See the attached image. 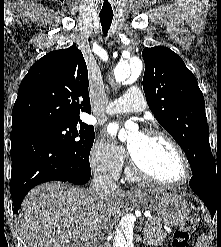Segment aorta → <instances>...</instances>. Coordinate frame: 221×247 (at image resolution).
<instances>
[{
  "label": "aorta",
  "mask_w": 221,
  "mask_h": 247,
  "mask_svg": "<svg viewBox=\"0 0 221 247\" xmlns=\"http://www.w3.org/2000/svg\"><path fill=\"white\" fill-rule=\"evenodd\" d=\"M142 70V62L137 58H131L128 61L120 62L114 68V78L117 82H124L130 76L132 79H135ZM135 125L132 121H128L125 124L126 129H132ZM118 137L120 140H125L127 137V132L125 129L120 130ZM113 247H132V243L129 240L128 236L125 235V232L122 228H117L114 233Z\"/></svg>",
  "instance_id": "1"
}]
</instances>
